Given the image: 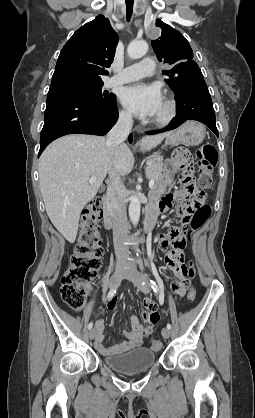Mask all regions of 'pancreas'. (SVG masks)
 Returning <instances> with one entry per match:
<instances>
[{
	"mask_svg": "<svg viewBox=\"0 0 255 418\" xmlns=\"http://www.w3.org/2000/svg\"><path fill=\"white\" fill-rule=\"evenodd\" d=\"M163 171V157L156 156L147 160V167L145 169L146 176L148 179H154L155 184L158 185V182L161 178Z\"/></svg>",
	"mask_w": 255,
	"mask_h": 418,
	"instance_id": "pancreas-1",
	"label": "pancreas"
}]
</instances>
